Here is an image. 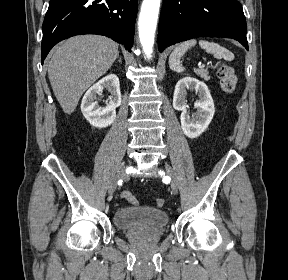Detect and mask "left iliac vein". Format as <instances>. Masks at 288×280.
<instances>
[{
  "label": "left iliac vein",
  "mask_w": 288,
  "mask_h": 280,
  "mask_svg": "<svg viewBox=\"0 0 288 280\" xmlns=\"http://www.w3.org/2000/svg\"><path fill=\"white\" fill-rule=\"evenodd\" d=\"M166 171H167V174L169 176H172V170H171V168L168 165H166ZM171 189H172L174 194H177L178 185H177V182H176V180L174 178L171 179Z\"/></svg>",
  "instance_id": "left-iliac-vein-1"
}]
</instances>
